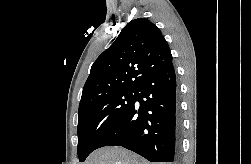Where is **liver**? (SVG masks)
Wrapping results in <instances>:
<instances>
[{"label":"liver","mask_w":251,"mask_h":164,"mask_svg":"<svg viewBox=\"0 0 251 164\" xmlns=\"http://www.w3.org/2000/svg\"><path fill=\"white\" fill-rule=\"evenodd\" d=\"M84 164H150L122 147H103L92 152Z\"/></svg>","instance_id":"obj_1"}]
</instances>
